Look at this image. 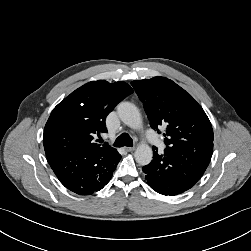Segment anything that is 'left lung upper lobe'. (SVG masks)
Here are the masks:
<instances>
[{"label":"left lung upper lobe","instance_id":"5c2ea615","mask_svg":"<svg viewBox=\"0 0 251 251\" xmlns=\"http://www.w3.org/2000/svg\"><path fill=\"white\" fill-rule=\"evenodd\" d=\"M153 129L165 128L168 150L211 157L213 130L202 107L179 85L164 77L131 83Z\"/></svg>","mask_w":251,"mask_h":251}]
</instances>
